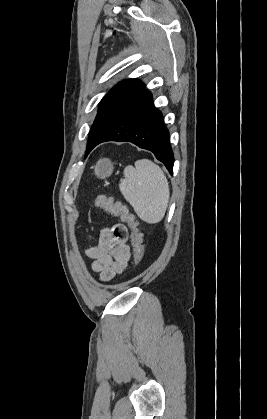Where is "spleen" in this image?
<instances>
[{
    "label": "spleen",
    "instance_id": "3e777b00",
    "mask_svg": "<svg viewBox=\"0 0 267 419\" xmlns=\"http://www.w3.org/2000/svg\"><path fill=\"white\" fill-rule=\"evenodd\" d=\"M119 189L138 217L149 223L160 222L166 212L170 191L162 169L148 159L135 162L124 169Z\"/></svg>",
    "mask_w": 267,
    "mask_h": 419
}]
</instances>
